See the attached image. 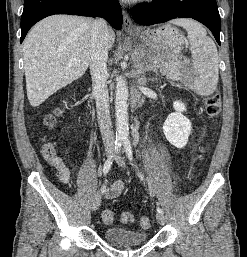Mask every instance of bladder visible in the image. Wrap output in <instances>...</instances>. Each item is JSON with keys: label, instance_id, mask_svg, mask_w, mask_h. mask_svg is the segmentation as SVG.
Returning <instances> with one entry per match:
<instances>
[{"label": "bladder", "instance_id": "bladder-1", "mask_svg": "<svg viewBox=\"0 0 247 257\" xmlns=\"http://www.w3.org/2000/svg\"><path fill=\"white\" fill-rule=\"evenodd\" d=\"M103 238L115 246H136L148 241L146 232L129 230L121 227H108L103 230Z\"/></svg>", "mask_w": 247, "mask_h": 257}]
</instances>
